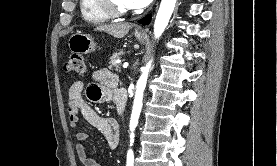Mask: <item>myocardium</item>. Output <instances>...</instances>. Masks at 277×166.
<instances>
[{
	"instance_id": "f54148a6",
	"label": "myocardium",
	"mask_w": 277,
	"mask_h": 166,
	"mask_svg": "<svg viewBox=\"0 0 277 166\" xmlns=\"http://www.w3.org/2000/svg\"><path fill=\"white\" fill-rule=\"evenodd\" d=\"M97 7L106 13L110 18H121L129 14L128 9H120L113 0H94Z\"/></svg>"
}]
</instances>
